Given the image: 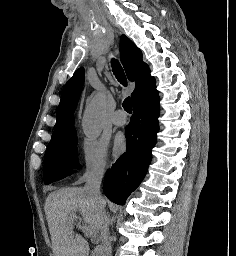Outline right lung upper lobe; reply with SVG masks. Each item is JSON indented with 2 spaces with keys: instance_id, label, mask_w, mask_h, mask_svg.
<instances>
[{
  "instance_id": "obj_1",
  "label": "right lung upper lobe",
  "mask_w": 236,
  "mask_h": 256,
  "mask_svg": "<svg viewBox=\"0 0 236 256\" xmlns=\"http://www.w3.org/2000/svg\"><path fill=\"white\" fill-rule=\"evenodd\" d=\"M120 58L128 79L136 83L135 90L131 94L132 102H135L155 86V79L150 75L148 66L143 63L140 49L125 35L120 38ZM83 84L84 69L79 68L62 90L51 141L63 138L75 131L73 112Z\"/></svg>"
}]
</instances>
